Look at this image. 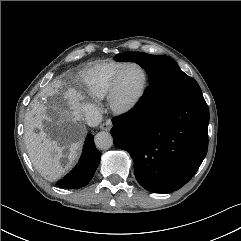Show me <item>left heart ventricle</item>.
I'll list each match as a JSON object with an SVG mask.
<instances>
[{
  "mask_svg": "<svg viewBox=\"0 0 241 241\" xmlns=\"http://www.w3.org/2000/svg\"><path fill=\"white\" fill-rule=\"evenodd\" d=\"M144 81L143 72L137 67L127 68L120 76L117 84V97L120 101H128L140 90Z\"/></svg>",
  "mask_w": 241,
  "mask_h": 241,
  "instance_id": "1",
  "label": "left heart ventricle"
}]
</instances>
